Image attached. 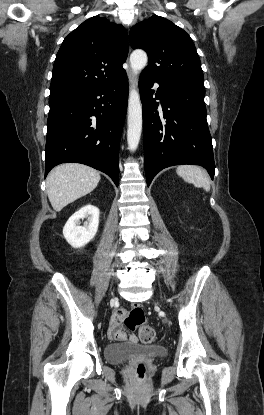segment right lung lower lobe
I'll return each instance as SVG.
<instances>
[{"mask_svg":"<svg viewBox=\"0 0 264 415\" xmlns=\"http://www.w3.org/2000/svg\"><path fill=\"white\" fill-rule=\"evenodd\" d=\"M128 80L49 100L45 176L60 163L86 164L119 183V145L126 115Z\"/></svg>","mask_w":264,"mask_h":415,"instance_id":"obj_1","label":"right lung lower lobe"}]
</instances>
